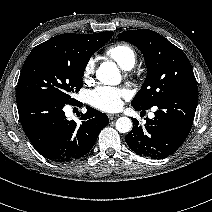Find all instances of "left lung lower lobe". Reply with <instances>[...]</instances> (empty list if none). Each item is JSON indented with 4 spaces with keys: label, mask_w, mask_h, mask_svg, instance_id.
Here are the masks:
<instances>
[{
    "label": "left lung lower lobe",
    "mask_w": 212,
    "mask_h": 212,
    "mask_svg": "<svg viewBox=\"0 0 212 212\" xmlns=\"http://www.w3.org/2000/svg\"><path fill=\"white\" fill-rule=\"evenodd\" d=\"M198 91L181 92L157 104L153 119L146 118L145 126L133 119V128L125 136L136 154L153 159L166 158L185 141L192 126ZM136 111L145 110L133 106Z\"/></svg>",
    "instance_id": "obj_1"
}]
</instances>
